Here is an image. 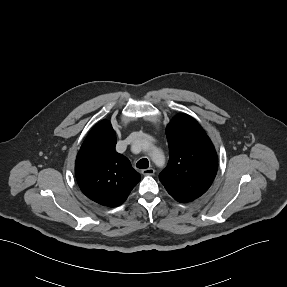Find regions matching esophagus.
I'll use <instances>...</instances> for the list:
<instances>
[{
  "mask_svg": "<svg viewBox=\"0 0 287 287\" xmlns=\"http://www.w3.org/2000/svg\"><path fill=\"white\" fill-rule=\"evenodd\" d=\"M141 173L143 175H153L155 173V170L153 168L143 169Z\"/></svg>",
  "mask_w": 287,
  "mask_h": 287,
  "instance_id": "1",
  "label": "esophagus"
}]
</instances>
